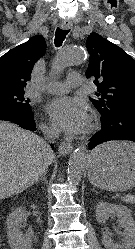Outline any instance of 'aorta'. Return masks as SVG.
<instances>
[{"label":"aorta","mask_w":135,"mask_h":249,"mask_svg":"<svg viewBox=\"0 0 135 249\" xmlns=\"http://www.w3.org/2000/svg\"><path fill=\"white\" fill-rule=\"evenodd\" d=\"M85 54V50L81 47L66 46L62 48L52 63L51 72L58 74L68 66L84 62ZM87 162L88 149L85 146H80L73 151L67 171L68 180L71 183L79 184Z\"/></svg>","instance_id":"obj_1"}]
</instances>
